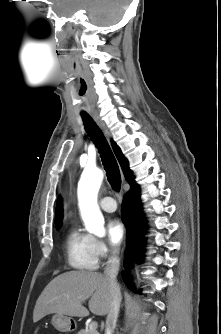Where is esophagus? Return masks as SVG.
<instances>
[{
	"label": "esophagus",
	"mask_w": 221,
	"mask_h": 334,
	"mask_svg": "<svg viewBox=\"0 0 221 334\" xmlns=\"http://www.w3.org/2000/svg\"><path fill=\"white\" fill-rule=\"evenodd\" d=\"M94 119L95 121L97 122V124L99 125V127L102 129V131L104 132V134L109 137V131L108 129L106 128L104 122L97 116V115H94Z\"/></svg>",
	"instance_id": "1"
}]
</instances>
